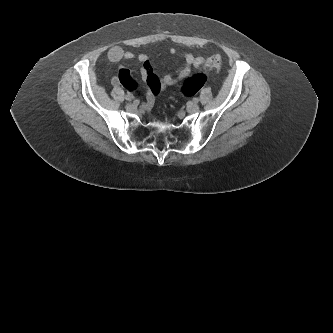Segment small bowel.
<instances>
[{
  "label": "small bowel",
  "instance_id": "1",
  "mask_svg": "<svg viewBox=\"0 0 333 333\" xmlns=\"http://www.w3.org/2000/svg\"><path fill=\"white\" fill-rule=\"evenodd\" d=\"M170 53L173 56L183 59L184 64L177 69L174 74H165L159 77L146 54H139L135 56L130 51H125L119 46L111 47L107 52L109 61L119 63L123 60H132L135 57L141 63L140 74L143 82L146 84V103L145 107L149 108L154 103L155 97L166 90L167 87L175 85L179 80L187 77L191 69L200 68L203 66L205 60L203 57L194 56L176 48H171ZM112 84L118 86L123 84L126 88L138 91L141 88V83L138 80L131 78L130 71L125 66H120L116 76L112 78Z\"/></svg>",
  "mask_w": 333,
  "mask_h": 333
}]
</instances>
